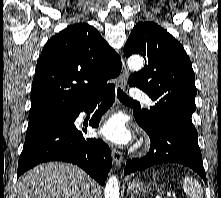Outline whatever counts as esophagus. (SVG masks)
Returning a JSON list of instances; mask_svg holds the SVG:
<instances>
[{"label": "esophagus", "instance_id": "obj_1", "mask_svg": "<svg viewBox=\"0 0 221 198\" xmlns=\"http://www.w3.org/2000/svg\"><path fill=\"white\" fill-rule=\"evenodd\" d=\"M128 77H129V71H128V69L125 66L124 59L122 58V74H121V77H120V86H121L122 89L126 88ZM112 158H113V162L117 166H120L121 163L123 162V155L116 148L112 149Z\"/></svg>", "mask_w": 221, "mask_h": 198}]
</instances>
